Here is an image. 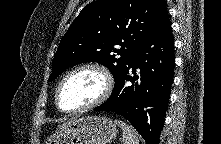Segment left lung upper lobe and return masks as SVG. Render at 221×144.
<instances>
[{"label":"left lung upper lobe","instance_id":"5c2ea615","mask_svg":"<svg viewBox=\"0 0 221 144\" xmlns=\"http://www.w3.org/2000/svg\"><path fill=\"white\" fill-rule=\"evenodd\" d=\"M164 0H98L85 6L60 41L52 61L54 80L84 62L106 66L117 79L167 14Z\"/></svg>","mask_w":221,"mask_h":144}]
</instances>
